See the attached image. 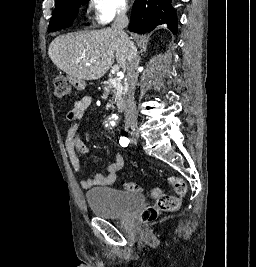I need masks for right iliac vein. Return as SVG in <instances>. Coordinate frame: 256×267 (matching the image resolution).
<instances>
[{"instance_id":"obj_1","label":"right iliac vein","mask_w":256,"mask_h":267,"mask_svg":"<svg viewBox=\"0 0 256 267\" xmlns=\"http://www.w3.org/2000/svg\"><path fill=\"white\" fill-rule=\"evenodd\" d=\"M134 137H137V134H136V133L134 134ZM134 140H135V139H134Z\"/></svg>"}]
</instances>
